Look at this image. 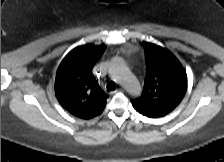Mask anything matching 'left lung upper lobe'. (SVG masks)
Segmentation results:
<instances>
[{
    "mask_svg": "<svg viewBox=\"0 0 224 162\" xmlns=\"http://www.w3.org/2000/svg\"><path fill=\"white\" fill-rule=\"evenodd\" d=\"M147 75L142 95L132 100L134 109L150 118L165 116L179 105L187 90V74L167 49L143 42Z\"/></svg>",
    "mask_w": 224,
    "mask_h": 162,
    "instance_id": "1",
    "label": "left lung upper lobe"
}]
</instances>
